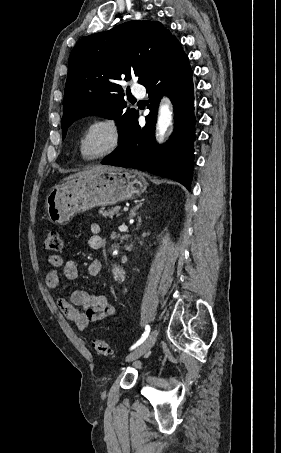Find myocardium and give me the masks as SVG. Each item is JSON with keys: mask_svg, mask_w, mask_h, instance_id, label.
Instances as JSON below:
<instances>
[{"mask_svg": "<svg viewBox=\"0 0 281 453\" xmlns=\"http://www.w3.org/2000/svg\"><path fill=\"white\" fill-rule=\"evenodd\" d=\"M96 131H103L107 139L92 147L88 138ZM121 142V132L110 119L100 118L89 122L81 131L76 142V152L83 161H93L113 153Z\"/></svg>", "mask_w": 281, "mask_h": 453, "instance_id": "f54148a6", "label": "myocardium"}]
</instances>
